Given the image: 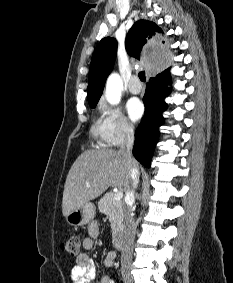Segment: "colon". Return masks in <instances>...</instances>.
<instances>
[{
  "label": "colon",
  "instance_id": "5ec220e1",
  "mask_svg": "<svg viewBox=\"0 0 233 283\" xmlns=\"http://www.w3.org/2000/svg\"><path fill=\"white\" fill-rule=\"evenodd\" d=\"M81 240L79 236L73 235L61 243V249L72 256H77L80 253Z\"/></svg>",
  "mask_w": 233,
  "mask_h": 283
}]
</instances>
